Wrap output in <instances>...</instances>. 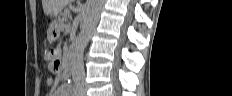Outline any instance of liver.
I'll use <instances>...</instances> for the list:
<instances>
[{
  "instance_id": "6515ba94",
  "label": "liver",
  "mask_w": 232,
  "mask_h": 96,
  "mask_svg": "<svg viewBox=\"0 0 232 96\" xmlns=\"http://www.w3.org/2000/svg\"><path fill=\"white\" fill-rule=\"evenodd\" d=\"M71 0H42L44 13L47 16H55L61 11Z\"/></svg>"
}]
</instances>
